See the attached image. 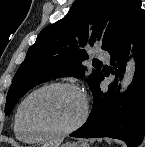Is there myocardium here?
<instances>
[{
  "instance_id": "f54148a6",
  "label": "myocardium",
  "mask_w": 145,
  "mask_h": 147,
  "mask_svg": "<svg viewBox=\"0 0 145 147\" xmlns=\"http://www.w3.org/2000/svg\"><path fill=\"white\" fill-rule=\"evenodd\" d=\"M53 89H70V90L75 91L80 96L82 103H83V110H82L80 117L75 123L61 130H51V129H47L43 127H39V128L30 127L28 123L26 122L25 115H24L26 104L35 95L41 92L53 90ZM88 114H89V104H88L87 98L85 94L83 93V91L73 83L57 82V83H50V84L44 85L30 92L22 100V102L20 103L18 107L17 119H18V122L21 128L27 133L37 135L41 138H56V137L66 136L76 131L78 128H80L85 123V121L87 120Z\"/></svg>"
}]
</instances>
